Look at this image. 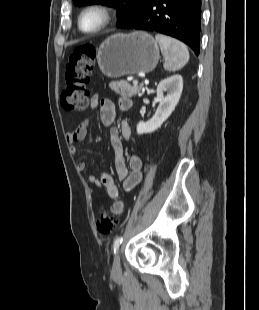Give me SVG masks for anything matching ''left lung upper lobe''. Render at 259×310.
<instances>
[{
  "instance_id": "1",
  "label": "left lung upper lobe",
  "mask_w": 259,
  "mask_h": 310,
  "mask_svg": "<svg viewBox=\"0 0 259 310\" xmlns=\"http://www.w3.org/2000/svg\"><path fill=\"white\" fill-rule=\"evenodd\" d=\"M76 6L105 4L117 8V27L141 12L151 0H73Z\"/></svg>"
}]
</instances>
